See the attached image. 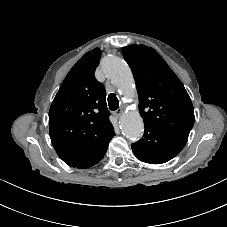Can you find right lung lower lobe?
Wrapping results in <instances>:
<instances>
[{
	"label": "right lung lower lobe",
	"instance_id": "98d812e1",
	"mask_svg": "<svg viewBox=\"0 0 227 227\" xmlns=\"http://www.w3.org/2000/svg\"><path fill=\"white\" fill-rule=\"evenodd\" d=\"M115 135V134H114ZM114 137V136H113ZM106 153V152H105ZM105 153H103L98 159H96V160H94V161H92V162H90V163H87V164H84V165H82V166H79V167H77V168H89V167H91V166H93V165H95V164H97L103 157H104V155H105Z\"/></svg>",
	"mask_w": 227,
	"mask_h": 227
}]
</instances>
